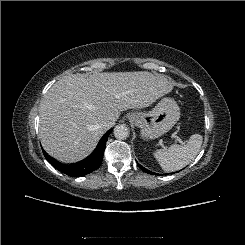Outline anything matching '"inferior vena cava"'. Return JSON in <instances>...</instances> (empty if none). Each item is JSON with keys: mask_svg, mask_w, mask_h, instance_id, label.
Returning <instances> with one entry per match:
<instances>
[{"mask_svg": "<svg viewBox=\"0 0 245 245\" xmlns=\"http://www.w3.org/2000/svg\"><path fill=\"white\" fill-rule=\"evenodd\" d=\"M115 125V121L114 120H106L102 123V127L106 130H108L109 128L113 127Z\"/></svg>", "mask_w": 245, "mask_h": 245, "instance_id": "obj_1", "label": "inferior vena cava"}]
</instances>
